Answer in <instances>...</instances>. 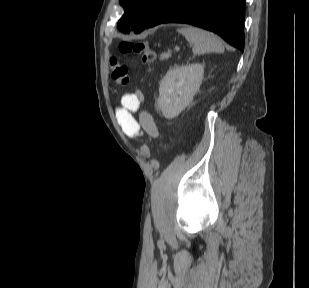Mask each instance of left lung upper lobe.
Instances as JSON below:
<instances>
[{
	"label": "left lung upper lobe",
	"instance_id": "obj_1",
	"mask_svg": "<svg viewBox=\"0 0 309 288\" xmlns=\"http://www.w3.org/2000/svg\"><path fill=\"white\" fill-rule=\"evenodd\" d=\"M166 0H120L125 13L118 21V29L129 33L130 29L121 24H130L136 33L141 32Z\"/></svg>",
	"mask_w": 309,
	"mask_h": 288
}]
</instances>
